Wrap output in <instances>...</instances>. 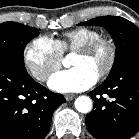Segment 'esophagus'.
<instances>
[{
	"mask_svg": "<svg viewBox=\"0 0 139 139\" xmlns=\"http://www.w3.org/2000/svg\"><path fill=\"white\" fill-rule=\"evenodd\" d=\"M75 98V95L74 94H66L65 95V99L66 101H71Z\"/></svg>",
	"mask_w": 139,
	"mask_h": 139,
	"instance_id": "1",
	"label": "esophagus"
}]
</instances>
